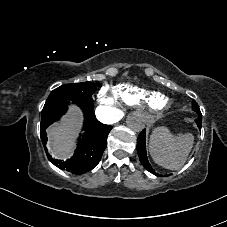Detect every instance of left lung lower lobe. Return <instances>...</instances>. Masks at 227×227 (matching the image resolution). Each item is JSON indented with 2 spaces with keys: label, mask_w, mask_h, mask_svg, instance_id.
<instances>
[{
  "label": "left lung lower lobe",
  "mask_w": 227,
  "mask_h": 227,
  "mask_svg": "<svg viewBox=\"0 0 227 227\" xmlns=\"http://www.w3.org/2000/svg\"><path fill=\"white\" fill-rule=\"evenodd\" d=\"M196 123L198 125V128L201 130L202 121L196 120ZM137 152H138V156L141 164L151 173L157 176H161L155 172V170L151 167L150 163L148 162L147 153H146V144H145V130H143L137 138Z\"/></svg>",
  "instance_id": "left-lung-lower-lobe-1"
}]
</instances>
